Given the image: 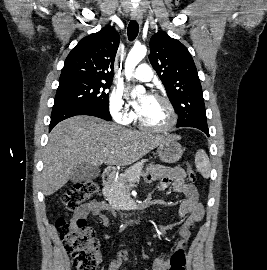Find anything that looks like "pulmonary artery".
I'll list each match as a JSON object with an SVG mask.
<instances>
[{
    "label": "pulmonary artery",
    "mask_w": 267,
    "mask_h": 270,
    "mask_svg": "<svg viewBox=\"0 0 267 270\" xmlns=\"http://www.w3.org/2000/svg\"><path fill=\"white\" fill-rule=\"evenodd\" d=\"M133 76L141 81H150L153 77V71L148 64L143 63L135 69Z\"/></svg>",
    "instance_id": "e3ab8cb5"
}]
</instances>
